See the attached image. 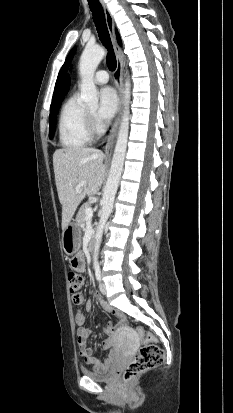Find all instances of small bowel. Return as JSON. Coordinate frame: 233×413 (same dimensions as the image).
I'll use <instances>...</instances> for the list:
<instances>
[{
  "instance_id": "1",
  "label": "small bowel",
  "mask_w": 233,
  "mask_h": 413,
  "mask_svg": "<svg viewBox=\"0 0 233 413\" xmlns=\"http://www.w3.org/2000/svg\"><path fill=\"white\" fill-rule=\"evenodd\" d=\"M69 262L71 263V268L73 272L81 274L85 271V263L83 262V257L79 253H74L69 257ZM92 300L87 303V310L91 311L93 308V300L96 301L101 308L109 313L115 314L119 319L120 323H110L104 331L110 335L105 341L101 343V347L105 350H109L114 346L115 339L114 334L116 333L119 325L123 321V316L120 312L116 311L108 302H106L97 292L93 291L91 293ZM72 301L75 305L79 306L83 303L84 297L81 292H77L72 295ZM75 321L77 324V340L80 348V354L84 358L85 362L92 365L96 370H105L114 360L116 353L110 352L105 360L101 362L98 358L94 356L96 351L95 348H89L87 346V339L92 335V330L86 327V317L82 310L78 309L75 314Z\"/></svg>"
}]
</instances>
